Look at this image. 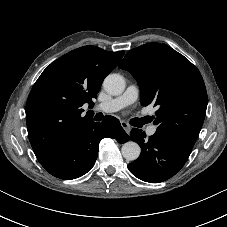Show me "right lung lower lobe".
Wrapping results in <instances>:
<instances>
[{
  "label": "right lung lower lobe",
  "instance_id": "1",
  "mask_svg": "<svg viewBox=\"0 0 227 227\" xmlns=\"http://www.w3.org/2000/svg\"><path fill=\"white\" fill-rule=\"evenodd\" d=\"M119 136L128 137L115 117L106 116L101 123L93 120L62 144L41 165L57 178H78L93 167L98 155L99 142L105 137L118 139Z\"/></svg>",
  "mask_w": 227,
  "mask_h": 227
}]
</instances>
